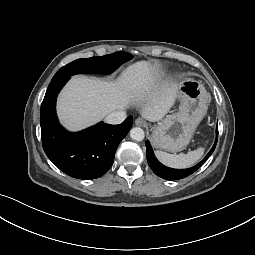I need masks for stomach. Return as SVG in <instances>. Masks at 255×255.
<instances>
[{"mask_svg":"<svg viewBox=\"0 0 255 255\" xmlns=\"http://www.w3.org/2000/svg\"><path fill=\"white\" fill-rule=\"evenodd\" d=\"M177 98L179 111L167 115L152 128L153 145L171 152L181 151L189 144L208 108V94L196 80L182 81Z\"/></svg>","mask_w":255,"mask_h":255,"instance_id":"obj_1","label":"stomach"}]
</instances>
